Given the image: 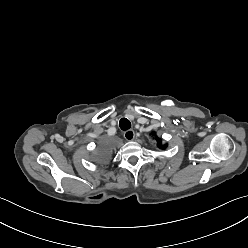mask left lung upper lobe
Masks as SVG:
<instances>
[{
  "mask_svg": "<svg viewBox=\"0 0 248 248\" xmlns=\"http://www.w3.org/2000/svg\"><path fill=\"white\" fill-rule=\"evenodd\" d=\"M153 136H156L155 133L152 134ZM156 141H157V146L160 147L161 149H165L167 147V145H163L161 146V139L156 137Z\"/></svg>",
  "mask_w": 248,
  "mask_h": 248,
  "instance_id": "1",
  "label": "left lung upper lobe"
}]
</instances>
